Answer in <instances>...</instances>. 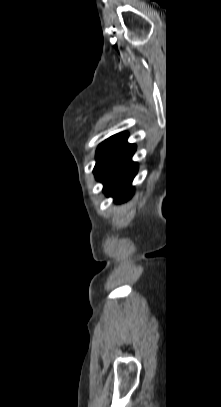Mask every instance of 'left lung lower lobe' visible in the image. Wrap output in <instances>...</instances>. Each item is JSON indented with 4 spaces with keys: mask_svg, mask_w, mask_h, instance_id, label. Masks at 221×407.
Listing matches in <instances>:
<instances>
[{
    "mask_svg": "<svg viewBox=\"0 0 221 407\" xmlns=\"http://www.w3.org/2000/svg\"><path fill=\"white\" fill-rule=\"evenodd\" d=\"M127 138L128 134L122 133L97 159L94 167L96 179L104 185V193L118 203L133 195L131 183L138 170L131 160L136 146L127 143Z\"/></svg>",
    "mask_w": 221,
    "mask_h": 407,
    "instance_id": "left-lung-lower-lobe-1",
    "label": "left lung lower lobe"
}]
</instances>
